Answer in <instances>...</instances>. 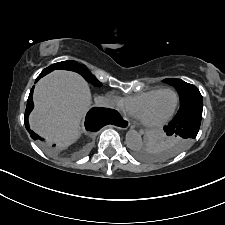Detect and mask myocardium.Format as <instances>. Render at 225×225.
<instances>
[{"instance_id": "1", "label": "myocardium", "mask_w": 225, "mask_h": 225, "mask_svg": "<svg viewBox=\"0 0 225 225\" xmlns=\"http://www.w3.org/2000/svg\"><path fill=\"white\" fill-rule=\"evenodd\" d=\"M167 91L173 92L175 94V96H176V104H175L174 109L170 113V115L167 118H165L164 120H162L160 122H157V123H148V122H146L145 114L148 111V109L151 106V104L154 102V100L160 94H162L164 92H167ZM179 106H180V95H179V93L173 88H162L152 98H150L148 100V102L143 106V108L141 109V111L139 113L138 119H139L141 125L144 126L147 129H159V128L164 127L165 125H167L169 122L172 121V119L174 118V116L176 115V113L178 111Z\"/></svg>"}]
</instances>
